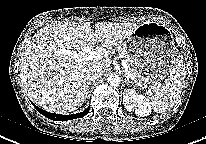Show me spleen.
Returning a JSON list of instances; mask_svg holds the SVG:
<instances>
[{
  "label": "spleen",
  "instance_id": "spleen-1",
  "mask_svg": "<svg viewBox=\"0 0 206 144\" xmlns=\"http://www.w3.org/2000/svg\"><path fill=\"white\" fill-rule=\"evenodd\" d=\"M185 74L183 62L177 57L173 60L168 79L146 92L145 99L156 113L165 112L176 102L183 88Z\"/></svg>",
  "mask_w": 206,
  "mask_h": 144
}]
</instances>
